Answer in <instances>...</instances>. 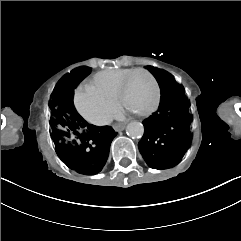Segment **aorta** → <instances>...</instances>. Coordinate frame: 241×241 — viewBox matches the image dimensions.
I'll list each match as a JSON object with an SVG mask.
<instances>
[{"label": "aorta", "instance_id": "aorta-1", "mask_svg": "<svg viewBox=\"0 0 241 241\" xmlns=\"http://www.w3.org/2000/svg\"><path fill=\"white\" fill-rule=\"evenodd\" d=\"M127 135L133 139H139L144 135V126L140 122H130L127 125Z\"/></svg>", "mask_w": 241, "mask_h": 241}]
</instances>
